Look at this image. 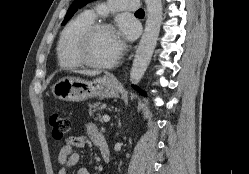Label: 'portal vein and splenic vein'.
I'll return each instance as SVG.
<instances>
[{"label": "portal vein and splenic vein", "instance_id": "obj_1", "mask_svg": "<svg viewBox=\"0 0 249 174\" xmlns=\"http://www.w3.org/2000/svg\"><path fill=\"white\" fill-rule=\"evenodd\" d=\"M103 121H104V122H109V121H110L109 115H104V116H103Z\"/></svg>", "mask_w": 249, "mask_h": 174}]
</instances>
